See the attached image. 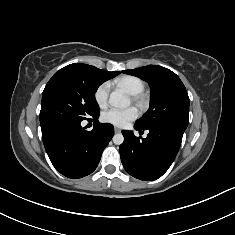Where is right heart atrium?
<instances>
[{
    "mask_svg": "<svg viewBox=\"0 0 235 235\" xmlns=\"http://www.w3.org/2000/svg\"><path fill=\"white\" fill-rule=\"evenodd\" d=\"M110 89L111 85L109 82H103L96 88L94 99L99 107L103 108L107 105Z\"/></svg>",
    "mask_w": 235,
    "mask_h": 235,
    "instance_id": "1",
    "label": "right heart atrium"
}]
</instances>
